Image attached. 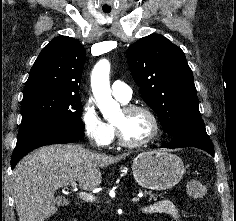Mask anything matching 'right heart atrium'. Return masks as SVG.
<instances>
[{"mask_svg":"<svg viewBox=\"0 0 236 221\" xmlns=\"http://www.w3.org/2000/svg\"><path fill=\"white\" fill-rule=\"evenodd\" d=\"M80 121L86 137L95 145L104 147L111 143L113 132L105 122L92 99H87L81 106Z\"/></svg>","mask_w":236,"mask_h":221,"instance_id":"right-heart-atrium-1","label":"right heart atrium"}]
</instances>
